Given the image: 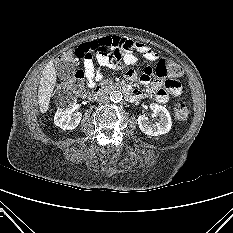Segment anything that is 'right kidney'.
<instances>
[{"label": "right kidney", "instance_id": "right-kidney-1", "mask_svg": "<svg viewBox=\"0 0 233 233\" xmlns=\"http://www.w3.org/2000/svg\"><path fill=\"white\" fill-rule=\"evenodd\" d=\"M76 102L74 98L72 103H70L67 108L64 106L62 108H58L55 116H54V124L59 126L61 129L72 130L75 129L82 118L81 112L71 113V106Z\"/></svg>", "mask_w": 233, "mask_h": 233}]
</instances>
